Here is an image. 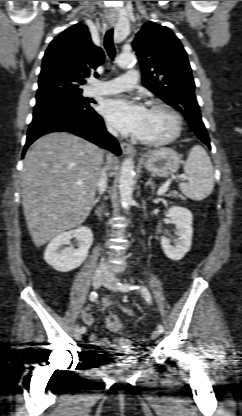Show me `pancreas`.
Wrapping results in <instances>:
<instances>
[{
  "label": "pancreas",
  "instance_id": "pancreas-1",
  "mask_svg": "<svg viewBox=\"0 0 242 416\" xmlns=\"http://www.w3.org/2000/svg\"><path fill=\"white\" fill-rule=\"evenodd\" d=\"M170 196H172V197H174V198H181L182 200H185V198H184L182 195L178 194V193H177V192H175V191H173V192L170 194Z\"/></svg>",
  "mask_w": 242,
  "mask_h": 416
}]
</instances>
